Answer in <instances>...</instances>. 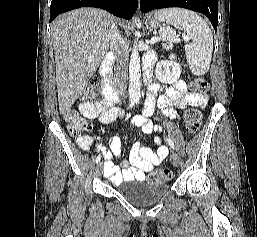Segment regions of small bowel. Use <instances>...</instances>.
<instances>
[{"label": "small bowel", "mask_w": 257, "mask_h": 237, "mask_svg": "<svg viewBox=\"0 0 257 237\" xmlns=\"http://www.w3.org/2000/svg\"><path fill=\"white\" fill-rule=\"evenodd\" d=\"M145 68L151 76L150 62H147ZM159 89L158 84L150 86V95L145 103L143 115L136 116L132 120L135 125L141 126L146 133L161 130L160 126L154 125L148 120L155 107L153 94ZM157 103L165 115L174 118L177 116L175 109H182L188 105L204 107L207 104V97L188 92L185 82L179 80L173 86L165 87V93L159 96ZM79 109L85 117L98 119L103 124H110L123 117V112L113 107L112 102L106 98L97 102L84 101L80 104ZM77 143L83 150H88L93 144V138L80 136L77 138ZM95 148L104 154V175L114 185H118L125 180H143L145 174L161 164L168 155V149L164 145H161L157 151H153L140 142H136L130 150L128 160L117 166L112 162V156H119L121 153V142L118 137L114 136L110 139V150H106L100 144H96Z\"/></svg>", "instance_id": "c3829d8e"}]
</instances>
